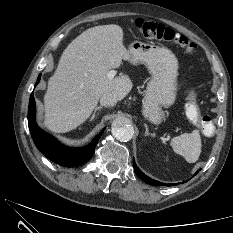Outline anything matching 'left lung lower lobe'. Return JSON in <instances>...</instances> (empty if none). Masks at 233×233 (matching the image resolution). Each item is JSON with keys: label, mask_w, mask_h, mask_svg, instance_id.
<instances>
[{"label": "left lung lower lobe", "mask_w": 233, "mask_h": 233, "mask_svg": "<svg viewBox=\"0 0 233 233\" xmlns=\"http://www.w3.org/2000/svg\"><path fill=\"white\" fill-rule=\"evenodd\" d=\"M133 166H134V171H135V173H136L142 180H144L145 182H147L148 184H151V185H154V186L162 185V183L159 184V182H157V181H155V180H152L151 178H149V177H147L146 175H144V173H142V172L140 171V169L137 167V165L135 164V162H134ZM169 185H172V184H169ZM169 185H168V186H169Z\"/></svg>", "instance_id": "left-lung-lower-lobe-1"}]
</instances>
